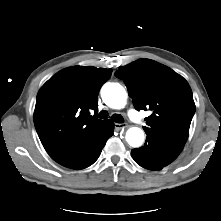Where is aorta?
<instances>
[{"label": "aorta", "instance_id": "762f6f07", "mask_svg": "<svg viewBox=\"0 0 221 221\" xmlns=\"http://www.w3.org/2000/svg\"><path fill=\"white\" fill-rule=\"evenodd\" d=\"M104 102L113 109H121L127 101V92L119 83H106L101 89ZM144 132L138 127L129 128L126 132V141L132 147H140L144 142Z\"/></svg>", "mask_w": 221, "mask_h": 221}]
</instances>
